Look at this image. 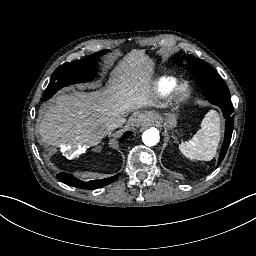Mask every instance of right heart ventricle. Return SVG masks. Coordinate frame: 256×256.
<instances>
[{"mask_svg": "<svg viewBox=\"0 0 256 256\" xmlns=\"http://www.w3.org/2000/svg\"><path fill=\"white\" fill-rule=\"evenodd\" d=\"M178 84L174 76L161 75L148 85L142 87L143 105H151L171 98Z\"/></svg>", "mask_w": 256, "mask_h": 256, "instance_id": "right-heart-ventricle-1", "label": "right heart ventricle"}]
</instances>
